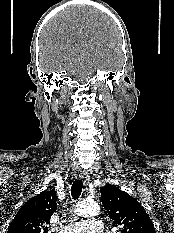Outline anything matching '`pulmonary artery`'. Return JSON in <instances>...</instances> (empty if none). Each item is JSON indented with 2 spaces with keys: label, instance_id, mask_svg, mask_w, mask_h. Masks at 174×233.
<instances>
[{
  "label": "pulmonary artery",
  "instance_id": "obj_1",
  "mask_svg": "<svg viewBox=\"0 0 174 233\" xmlns=\"http://www.w3.org/2000/svg\"><path fill=\"white\" fill-rule=\"evenodd\" d=\"M104 224L101 220L92 218L64 226L60 233H102Z\"/></svg>",
  "mask_w": 174,
  "mask_h": 233
}]
</instances>
